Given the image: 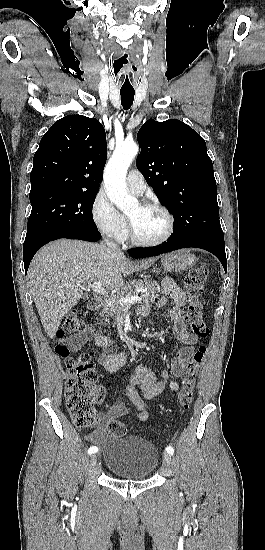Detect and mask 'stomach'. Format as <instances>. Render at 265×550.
Wrapping results in <instances>:
<instances>
[{
  "instance_id": "1",
  "label": "stomach",
  "mask_w": 265,
  "mask_h": 550,
  "mask_svg": "<svg viewBox=\"0 0 265 550\" xmlns=\"http://www.w3.org/2000/svg\"><path fill=\"white\" fill-rule=\"evenodd\" d=\"M196 261V257L185 250L166 254L161 259L162 267L166 272L185 271L193 267Z\"/></svg>"
}]
</instances>
